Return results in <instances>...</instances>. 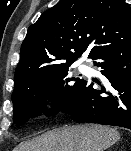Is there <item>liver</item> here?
<instances>
[{
  "label": "liver",
  "mask_w": 131,
  "mask_h": 151,
  "mask_svg": "<svg viewBox=\"0 0 131 151\" xmlns=\"http://www.w3.org/2000/svg\"><path fill=\"white\" fill-rule=\"evenodd\" d=\"M120 140L117 130L100 125H75L47 132L14 151H105Z\"/></svg>",
  "instance_id": "liver-1"
}]
</instances>
